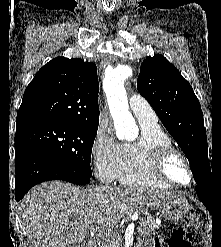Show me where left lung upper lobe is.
Masks as SVG:
<instances>
[{
	"label": "left lung upper lobe",
	"instance_id": "1",
	"mask_svg": "<svg viewBox=\"0 0 221 247\" xmlns=\"http://www.w3.org/2000/svg\"><path fill=\"white\" fill-rule=\"evenodd\" d=\"M137 89L187 156L197 185L212 184L203 113L189 82L164 56L155 55L141 64Z\"/></svg>",
	"mask_w": 221,
	"mask_h": 247
}]
</instances>
